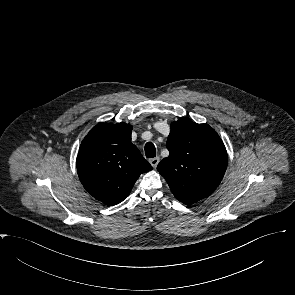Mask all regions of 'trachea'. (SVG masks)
I'll return each mask as SVG.
<instances>
[{"label":"trachea","instance_id":"trachea-1","mask_svg":"<svg viewBox=\"0 0 295 295\" xmlns=\"http://www.w3.org/2000/svg\"><path fill=\"white\" fill-rule=\"evenodd\" d=\"M145 154L147 158H153L156 156V148L152 142L145 144Z\"/></svg>","mask_w":295,"mask_h":295}]
</instances>
